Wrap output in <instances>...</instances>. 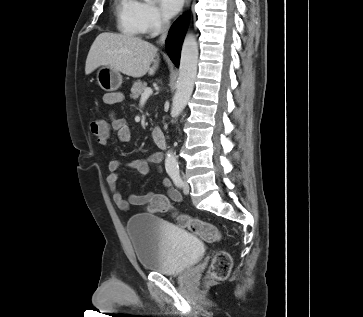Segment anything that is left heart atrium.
<instances>
[{
	"label": "left heart atrium",
	"mask_w": 363,
	"mask_h": 317,
	"mask_svg": "<svg viewBox=\"0 0 363 317\" xmlns=\"http://www.w3.org/2000/svg\"><path fill=\"white\" fill-rule=\"evenodd\" d=\"M183 1L184 0H160V4L166 16H173L181 9Z\"/></svg>",
	"instance_id": "obj_1"
}]
</instances>
